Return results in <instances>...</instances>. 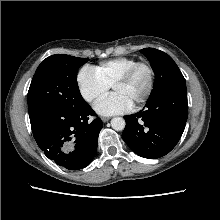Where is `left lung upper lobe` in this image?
Here are the masks:
<instances>
[{"label":"left lung upper lobe","instance_id":"1","mask_svg":"<svg viewBox=\"0 0 220 220\" xmlns=\"http://www.w3.org/2000/svg\"><path fill=\"white\" fill-rule=\"evenodd\" d=\"M140 52L150 61L155 73L154 88L149 99L169 89L186 86V81L180 69L168 54L154 48H145Z\"/></svg>","mask_w":220,"mask_h":220}]
</instances>
